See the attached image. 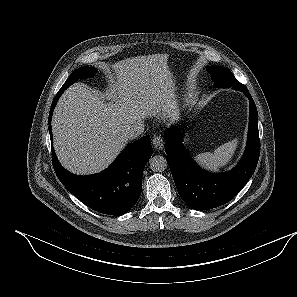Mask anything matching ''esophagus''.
<instances>
[{"mask_svg": "<svg viewBox=\"0 0 297 297\" xmlns=\"http://www.w3.org/2000/svg\"><path fill=\"white\" fill-rule=\"evenodd\" d=\"M152 145L158 151L163 150V148H164L163 138L161 136H158V135L154 136V138L152 140Z\"/></svg>", "mask_w": 297, "mask_h": 297, "instance_id": "1", "label": "esophagus"}]
</instances>
